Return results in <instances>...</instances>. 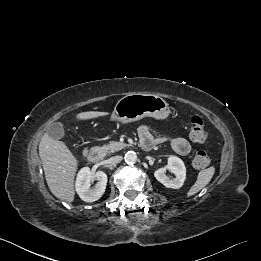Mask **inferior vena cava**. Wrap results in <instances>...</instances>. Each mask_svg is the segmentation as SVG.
<instances>
[{
	"instance_id": "inferior-vena-cava-1",
	"label": "inferior vena cava",
	"mask_w": 261,
	"mask_h": 261,
	"mask_svg": "<svg viewBox=\"0 0 261 261\" xmlns=\"http://www.w3.org/2000/svg\"><path fill=\"white\" fill-rule=\"evenodd\" d=\"M121 160H122V156H114L109 159V163L114 165V164L120 163Z\"/></svg>"
}]
</instances>
